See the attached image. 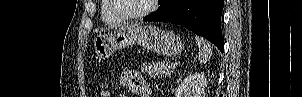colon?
I'll use <instances>...</instances> for the list:
<instances>
[{
    "mask_svg": "<svg viewBox=\"0 0 302 97\" xmlns=\"http://www.w3.org/2000/svg\"><path fill=\"white\" fill-rule=\"evenodd\" d=\"M100 97H108V94H107L106 92H102V93L100 94Z\"/></svg>",
    "mask_w": 302,
    "mask_h": 97,
    "instance_id": "colon-1",
    "label": "colon"
}]
</instances>
